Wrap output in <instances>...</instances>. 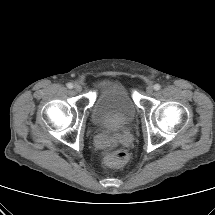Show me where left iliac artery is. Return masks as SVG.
I'll return each mask as SVG.
<instances>
[{"label":"left iliac artery","mask_w":215,"mask_h":215,"mask_svg":"<svg viewBox=\"0 0 215 215\" xmlns=\"http://www.w3.org/2000/svg\"><path fill=\"white\" fill-rule=\"evenodd\" d=\"M160 88H161V86H160L159 84H155V85H154V89H155V90H160Z\"/></svg>","instance_id":"obj_1"}]
</instances>
